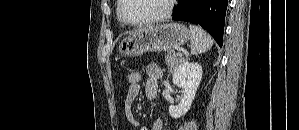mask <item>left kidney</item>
I'll use <instances>...</instances> for the list:
<instances>
[{"instance_id": "left-kidney-1", "label": "left kidney", "mask_w": 299, "mask_h": 130, "mask_svg": "<svg viewBox=\"0 0 299 130\" xmlns=\"http://www.w3.org/2000/svg\"><path fill=\"white\" fill-rule=\"evenodd\" d=\"M202 73L201 65L194 62L184 61L177 67L173 75V83L182 88L184 96L177 106H169V114L172 118H180L190 110Z\"/></svg>"}]
</instances>
